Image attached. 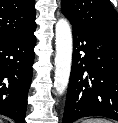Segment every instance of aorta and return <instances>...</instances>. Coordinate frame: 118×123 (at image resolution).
<instances>
[{"label":"aorta","instance_id":"aorta-1","mask_svg":"<svg viewBox=\"0 0 118 123\" xmlns=\"http://www.w3.org/2000/svg\"><path fill=\"white\" fill-rule=\"evenodd\" d=\"M55 35L56 55L54 87L57 94L62 95L69 83L73 52L71 27L66 19L62 18L57 21Z\"/></svg>","mask_w":118,"mask_h":123}]
</instances>
